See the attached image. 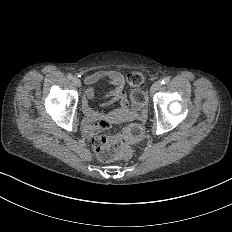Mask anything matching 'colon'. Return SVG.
I'll use <instances>...</instances> for the list:
<instances>
[{"mask_svg": "<svg viewBox=\"0 0 232 232\" xmlns=\"http://www.w3.org/2000/svg\"><path fill=\"white\" fill-rule=\"evenodd\" d=\"M145 71H132L129 75V91L133 95V111L137 115H144L148 111V104L144 94L147 81H143ZM142 138V129L138 125H131L127 130H119L117 133L105 134L97 132L92 139V146L96 158L100 162H116L120 158V151L124 146L135 144Z\"/></svg>", "mask_w": 232, "mask_h": 232, "instance_id": "obj_1", "label": "colon"}]
</instances>
